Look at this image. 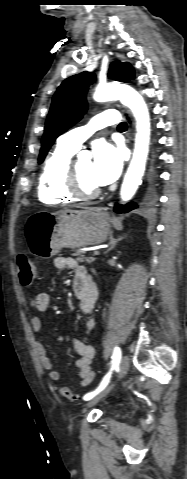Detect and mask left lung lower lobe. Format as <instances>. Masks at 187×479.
I'll list each match as a JSON object with an SVG mask.
<instances>
[{
    "mask_svg": "<svg viewBox=\"0 0 187 479\" xmlns=\"http://www.w3.org/2000/svg\"><path fill=\"white\" fill-rule=\"evenodd\" d=\"M137 206L134 203H128L126 205H115L114 211L117 213H127L130 210H133Z\"/></svg>",
    "mask_w": 187,
    "mask_h": 479,
    "instance_id": "left-lung-lower-lobe-1",
    "label": "left lung lower lobe"
}]
</instances>
